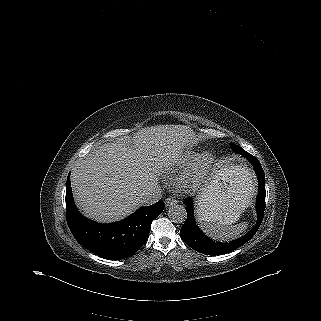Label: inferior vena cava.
Listing matches in <instances>:
<instances>
[{
    "label": "inferior vena cava",
    "instance_id": "inferior-vena-cava-1",
    "mask_svg": "<svg viewBox=\"0 0 321 321\" xmlns=\"http://www.w3.org/2000/svg\"><path fill=\"white\" fill-rule=\"evenodd\" d=\"M162 198V189L155 188L145 194L141 197V203L142 205H151L156 203Z\"/></svg>",
    "mask_w": 321,
    "mask_h": 321
}]
</instances>
